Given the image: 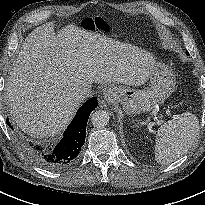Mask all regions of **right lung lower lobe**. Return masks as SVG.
<instances>
[{
	"label": "right lung lower lobe",
	"instance_id": "right-lung-lower-lobe-1",
	"mask_svg": "<svg viewBox=\"0 0 205 205\" xmlns=\"http://www.w3.org/2000/svg\"><path fill=\"white\" fill-rule=\"evenodd\" d=\"M97 107V99L91 98L78 110L75 118L64 133L63 139L53 148L31 146L26 148L28 156L38 165L49 170L71 167L78 159L85 142L86 125L92 110ZM11 129L9 120H6Z\"/></svg>",
	"mask_w": 205,
	"mask_h": 205
}]
</instances>
